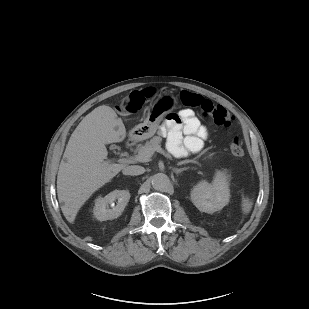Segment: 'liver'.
<instances>
[{
  "label": "liver",
  "instance_id": "1",
  "mask_svg": "<svg viewBox=\"0 0 309 309\" xmlns=\"http://www.w3.org/2000/svg\"><path fill=\"white\" fill-rule=\"evenodd\" d=\"M125 138L122 119L106 105L86 115L74 130L57 175L58 200L68 222L73 223L91 195L125 168L123 164L104 161L108 155L106 145L122 142Z\"/></svg>",
  "mask_w": 309,
  "mask_h": 309
}]
</instances>
